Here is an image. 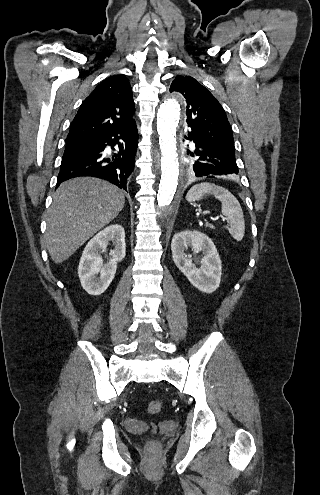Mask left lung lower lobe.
<instances>
[{
    "instance_id": "0a47b994",
    "label": "left lung lower lobe",
    "mask_w": 320,
    "mask_h": 495,
    "mask_svg": "<svg viewBox=\"0 0 320 495\" xmlns=\"http://www.w3.org/2000/svg\"><path fill=\"white\" fill-rule=\"evenodd\" d=\"M188 139L194 142L197 161L193 166L196 177L213 178L220 175L238 174L235 154L227 153L213 144L205 142L196 133L189 130Z\"/></svg>"
}]
</instances>
